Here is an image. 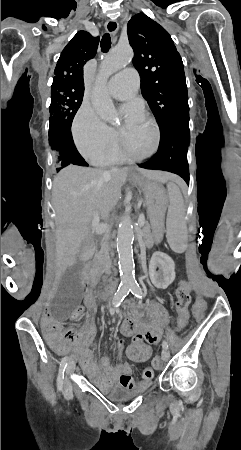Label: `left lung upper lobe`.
Returning <instances> with one entry per match:
<instances>
[{"label": "left lung upper lobe", "instance_id": "1", "mask_svg": "<svg viewBox=\"0 0 241 450\" xmlns=\"http://www.w3.org/2000/svg\"><path fill=\"white\" fill-rule=\"evenodd\" d=\"M127 33L142 95L161 127L178 112L189 110L181 56L168 32L143 13L131 18Z\"/></svg>", "mask_w": 241, "mask_h": 450}]
</instances>
